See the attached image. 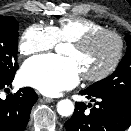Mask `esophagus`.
<instances>
[{
    "mask_svg": "<svg viewBox=\"0 0 131 131\" xmlns=\"http://www.w3.org/2000/svg\"><path fill=\"white\" fill-rule=\"evenodd\" d=\"M43 100H44L45 102H47V103H50V102H53V101H54V99L49 98V97H43Z\"/></svg>",
    "mask_w": 131,
    "mask_h": 131,
    "instance_id": "esophagus-1",
    "label": "esophagus"
}]
</instances>
